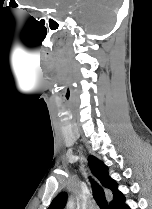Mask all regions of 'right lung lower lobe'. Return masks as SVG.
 I'll list each match as a JSON object with an SVG mask.
<instances>
[{
  "label": "right lung lower lobe",
  "instance_id": "obj_1",
  "mask_svg": "<svg viewBox=\"0 0 152 209\" xmlns=\"http://www.w3.org/2000/svg\"><path fill=\"white\" fill-rule=\"evenodd\" d=\"M110 209H130V207L125 204V197L119 190L113 194Z\"/></svg>",
  "mask_w": 152,
  "mask_h": 209
}]
</instances>
